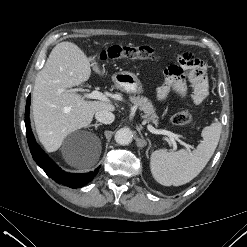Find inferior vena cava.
Segmentation results:
<instances>
[{
  "label": "inferior vena cava",
  "mask_w": 247,
  "mask_h": 247,
  "mask_svg": "<svg viewBox=\"0 0 247 247\" xmlns=\"http://www.w3.org/2000/svg\"><path fill=\"white\" fill-rule=\"evenodd\" d=\"M95 118L97 121L104 123V124H111L115 116L112 112L107 110H99L95 113Z\"/></svg>",
  "instance_id": "inferior-vena-cava-1"
}]
</instances>
